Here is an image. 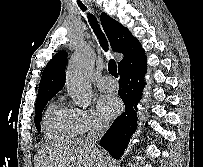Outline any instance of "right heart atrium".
<instances>
[{
	"label": "right heart atrium",
	"mask_w": 203,
	"mask_h": 167,
	"mask_svg": "<svg viewBox=\"0 0 203 167\" xmlns=\"http://www.w3.org/2000/svg\"><path fill=\"white\" fill-rule=\"evenodd\" d=\"M70 115L78 135L99 131L106 123L90 108H70Z\"/></svg>",
	"instance_id": "right-heart-atrium-1"
}]
</instances>
